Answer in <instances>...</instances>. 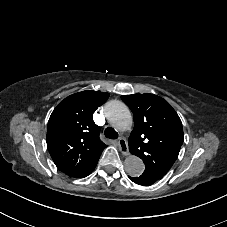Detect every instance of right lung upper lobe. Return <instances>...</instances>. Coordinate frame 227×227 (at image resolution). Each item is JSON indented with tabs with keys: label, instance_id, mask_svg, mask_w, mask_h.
Returning <instances> with one entry per match:
<instances>
[{
	"label": "right lung upper lobe",
	"instance_id": "1",
	"mask_svg": "<svg viewBox=\"0 0 227 227\" xmlns=\"http://www.w3.org/2000/svg\"><path fill=\"white\" fill-rule=\"evenodd\" d=\"M108 93L82 91L65 98L52 112L47 127V147L63 173L83 177L98 162L107 147L99 138L100 127L93 113Z\"/></svg>",
	"mask_w": 227,
	"mask_h": 227
}]
</instances>
